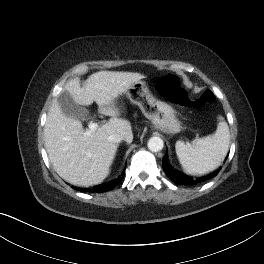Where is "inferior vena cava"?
Instances as JSON below:
<instances>
[{"instance_id":"602c4592","label":"inferior vena cava","mask_w":264,"mask_h":264,"mask_svg":"<svg viewBox=\"0 0 264 264\" xmlns=\"http://www.w3.org/2000/svg\"><path fill=\"white\" fill-rule=\"evenodd\" d=\"M123 139H124V137L122 135H119V134H112L108 137L109 141L115 142V143H118Z\"/></svg>"}]
</instances>
